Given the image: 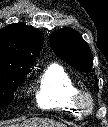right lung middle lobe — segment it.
Here are the masks:
<instances>
[{"mask_svg":"<svg viewBox=\"0 0 108 127\" xmlns=\"http://www.w3.org/2000/svg\"><path fill=\"white\" fill-rule=\"evenodd\" d=\"M30 67L12 59L0 58V108L13 100L14 92L23 83Z\"/></svg>","mask_w":108,"mask_h":127,"instance_id":"right-lung-middle-lobe-1","label":"right lung middle lobe"}]
</instances>
